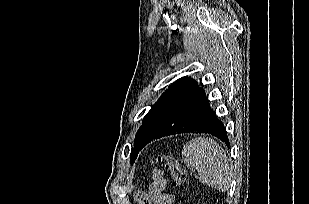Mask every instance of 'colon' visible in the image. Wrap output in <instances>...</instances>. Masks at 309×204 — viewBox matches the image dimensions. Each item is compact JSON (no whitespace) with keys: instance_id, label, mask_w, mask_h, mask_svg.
<instances>
[{"instance_id":"5ec220e1","label":"colon","mask_w":309,"mask_h":204,"mask_svg":"<svg viewBox=\"0 0 309 204\" xmlns=\"http://www.w3.org/2000/svg\"><path fill=\"white\" fill-rule=\"evenodd\" d=\"M154 162L161 164L169 171L174 187H179L184 183L186 173L179 161L171 153L157 155ZM139 201L140 203L148 204L143 197H139Z\"/></svg>"}]
</instances>
